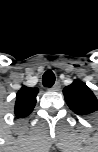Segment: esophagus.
Returning <instances> with one entry per match:
<instances>
[{"instance_id": "obj_1", "label": "esophagus", "mask_w": 98, "mask_h": 152, "mask_svg": "<svg viewBox=\"0 0 98 152\" xmlns=\"http://www.w3.org/2000/svg\"><path fill=\"white\" fill-rule=\"evenodd\" d=\"M61 88V84L59 82H56L50 90L52 91H59Z\"/></svg>"}]
</instances>
